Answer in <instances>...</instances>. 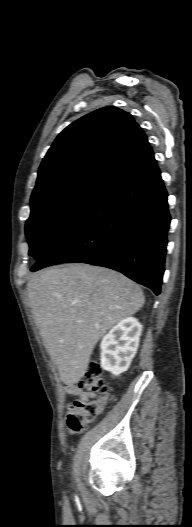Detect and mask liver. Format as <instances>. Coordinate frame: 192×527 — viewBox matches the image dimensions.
Returning <instances> with one entry per match:
<instances>
[{
    "mask_svg": "<svg viewBox=\"0 0 192 527\" xmlns=\"http://www.w3.org/2000/svg\"><path fill=\"white\" fill-rule=\"evenodd\" d=\"M27 292L44 345L66 385L84 376L99 339L145 301L141 288L121 273L87 264L45 269L31 277Z\"/></svg>",
    "mask_w": 192,
    "mask_h": 527,
    "instance_id": "obj_1",
    "label": "liver"
}]
</instances>
